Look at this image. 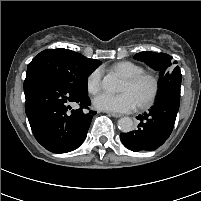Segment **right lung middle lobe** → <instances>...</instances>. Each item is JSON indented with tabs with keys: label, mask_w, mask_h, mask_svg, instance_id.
Instances as JSON below:
<instances>
[{
	"label": "right lung middle lobe",
	"mask_w": 201,
	"mask_h": 201,
	"mask_svg": "<svg viewBox=\"0 0 201 201\" xmlns=\"http://www.w3.org/2000/svg\"><path fill=\"white\" fill-rule=\"evenodd\" d=\"M101 62L68 49H47L28 65L27 74L44 71L66 83L76 94L87 96V77Z\"/></svg>",
	"instance_id": "obj_1"
}]
</instances>
